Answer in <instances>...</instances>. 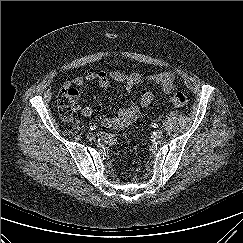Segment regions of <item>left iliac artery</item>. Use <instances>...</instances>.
<instances>
[{
  "mask_svg": "<svg viewBox=\"0 0 243 243\" xmlns=\"http://www.w3.org/2000/svg\"><path fill=\"white\" fill-rule=\"evenodd\" d=\"M152 127H153V128H157V127H158V124L154 123V124L152 125Z\"/></svg>",
  "mask_w": 243,
  "mask_h": 243,
  "instance_id": "obj_1",
  "label": "left iliac artery"
}]
</instances>
